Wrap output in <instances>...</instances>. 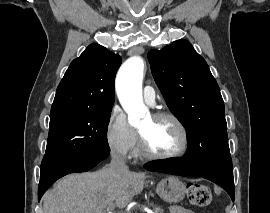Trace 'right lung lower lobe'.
<instances>
[{
    "label": "right lung lower lobe",
    "mask_w": 270,
    "mask_h": 213,
    "mask_svg": "<svg viewBox=\"0 0 270 213\" xmlns=\"http://www.w3.org/2000/svg\"><path fill=\"white\" fill-rule=\"evenodd\" d=\"M108 156L109 152H99L84 158L66 159L54 162L48 161L46 163H42L38 188V200L40 201L45 191L59 178L70 173L86 172Z\"/></svg>",
    "instance_id": "1"
}]
</instances>
